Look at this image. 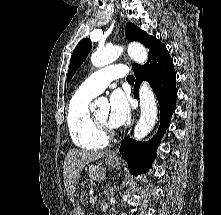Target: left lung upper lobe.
<instances>
[{
    "label": "left lung upper lobe",
    "instance_id": "left-lung-upper-lobe-1",
    "mask_svg": "<svg viewBox=\"0 0 221 215\" xmlns=\"http://www.w3.org/2000/svg\"><path fill=\"white\" fill-rule=\"evenodd\" d=\"M125 34H126V38L129 41L141 42L149 49V59L157 50V48L160 45H162V43L159 40H157L155 37L148 35L145 31L141 30L140 28H138L136 25L132 23L126 24ZM91 48H92V43L87 38L81 40L78 43V45L75 47L71 56V60H70V66H69L68 75H67V82L71 80L72 76L75 74L78 67H80L83 61H85ZM138 67H141V66L138 64L132 65L133 69H136Z\"/></svg>",
    "mask_w": 221,
    "mask_h": 215
}]
</instances>
